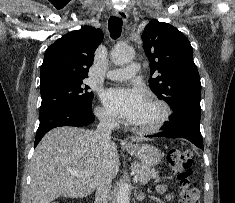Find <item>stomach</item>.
<instances>
[{
    "label": "stomach",
    "mask_w": 235,
    "mask_h": 203,
    "mask_svg": "<svg viewBox=\"0 0 235 203\" xmlns=\"http://www.w3.org/2000/svg\"><path fill=\"white\" fill-rule=\"evenodd\" d=\"M131 155L135 156L141 165L152 167L162 160V154L158 148L150 144L131 145L126 147Z\"/></svg>",
    "instance_id": "1"
}]
</instances>
